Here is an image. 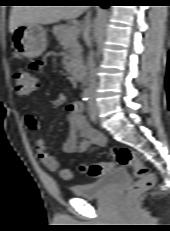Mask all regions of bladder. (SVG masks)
Segmentation results:
<instances>
[{"instance_id": "bladder-1", "label": "bladder", "mask_w": 170, "mask_h": 231, "mask_svg": "<svg viewBox=\"0 0 170 231\" xmlns=\"http://www.w3.org/2000/svg\"><path fill=\"white\" fill-rule=\"evenodd\" d=\"M128 174L123 168L111 170L106 176L87 184L71 187V192L80 198H100L110 193L114 188L127 181Z\"/></svg>"}]
</instances>
